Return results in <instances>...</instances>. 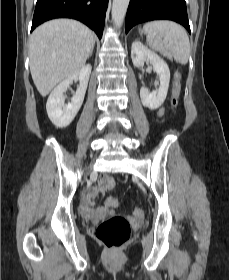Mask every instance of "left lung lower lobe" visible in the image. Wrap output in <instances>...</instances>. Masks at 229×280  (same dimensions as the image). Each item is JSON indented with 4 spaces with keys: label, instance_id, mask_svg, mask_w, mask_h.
I'll return each mask as SVG.
<instances>
[{
    "label": "left lung lower lobe",
    "instance_id": "left-lung-lower-lobe-1",
    "mask_svg": "<svg viewBox=\"0 0 229 280\" xmlns=\"http://www.w3.org/2000/svg\"><path fill=\"white\" fill-rule=\"evenodd\" d=\"M152 20H172L190 33L185 0H130L126 14V33L135 25Z\"/></svg>",
    "mask_w": 229,
    "mask_h": 280
}]
</instances>
